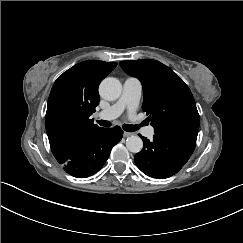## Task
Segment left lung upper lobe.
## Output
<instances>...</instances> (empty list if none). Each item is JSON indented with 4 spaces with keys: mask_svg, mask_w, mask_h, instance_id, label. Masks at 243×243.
<instances>
[{
    "mask_svg": "<svg viewBox=\"0 0 243 243\" xmlns=\"http://www.w3.org/2000/svg\"><path fill=\"white\" fill-rule=\"evenodd\" d=\"M143 85V110L155 133L197 139L199 114L189 87L169 67L152 59L121 61Z\"/></svg>",
    "mask_w": 243,
    "mask_h": 243,
    "instance_id": "5c2ea615",
    "label": "left lung upper lobe"
}]
</instances>
